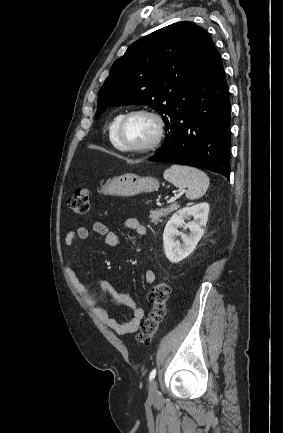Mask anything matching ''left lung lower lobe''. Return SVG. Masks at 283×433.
<instances>
[{"instance_id":"obj_1","label":"left lung lower lobe","mask_w":283,"mask_h":433,"mask_svg":"<svg viewBox=\"0 0 283 433\" xmlns=\"http://www.w3.org/2000/svg\"><path fill=\"white\" fill-rule=\"evenodd\" d=\"M230 99L214 47L191 86V106L166 125V139L149 161L200 167L230 177Z\"/></svg>"}]
</instances>
